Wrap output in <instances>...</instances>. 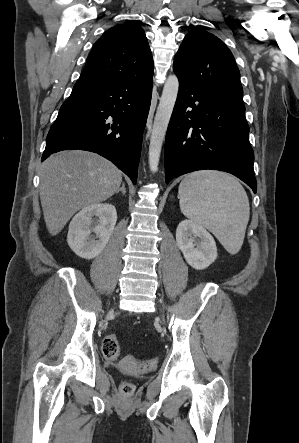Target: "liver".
Here are the masks:
<instances>
[{"label":"liver","mask_w":299,"mask_h":443,"mask_svg":"<svg viewBox=\"0 0 299 443\" xmlns=\"http://www.w3.org/2000/svg\"><path fill=\"white\" fill-rule=\"evenodd\" d=\"M121 182L122 172L98 154L68 150L50 156L40 170V201L48 232L57 235L77 211L107 200Z\"/></svg>","instance_id":"liver-1"}]
</instances>
